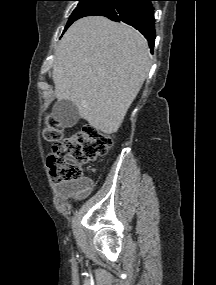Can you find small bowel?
<instances>
[{"label":"small bowel","mask_w":216,"mask_h":285,"mask_svg":"<svg viewBox=\"0 0 216 285\" xmlns=\"http://www.w3.org/2000/svg\"><path fill=\"white\" fill-rule=\"evenodd\" d=\"M93 189V183L89 179H82L78 182L58 183L57 193L63 198H81L89 194Z\"/></svg>","instance_id":"1"}]
</instances>
